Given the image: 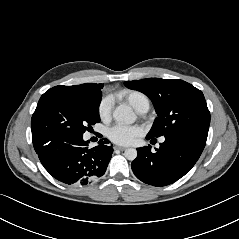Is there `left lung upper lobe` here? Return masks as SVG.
Wrapping results in <instances>:
<instances>
[{"label": "left lung upper lobe", "mask_w": 239, "mask_h": 239, "mask_svg": "<svg viewBox=\"0 0 239 239\" xmlns=\"http://www.w3.org/2000/svg\"><path fill=\"white\" fill-rule=\"evenodd\" d=\"M124 84L147 95L155 107L158 117L148 137L176 134L206 141L210 112L202 91L180 79L148 78Z\"/></svg>", "instance_id": "5c2ea615"}]
</instances>
